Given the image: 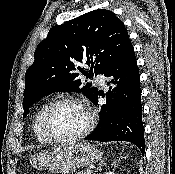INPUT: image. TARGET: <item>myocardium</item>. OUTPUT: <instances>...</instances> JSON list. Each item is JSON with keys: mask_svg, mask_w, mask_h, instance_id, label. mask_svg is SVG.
<instances>
[{"mask_svg": "<svg viewBox=\"0 0 175 174\" xmlns=\"http://www.w3.org/2000/svg\"><path fill=\"white\" fill-rule=\"evenodd\" d=\"M66 103H75V104L80 105L84 109L87 115V125L80 133L73 135V136L64 137V136H59L53 132L51 128V117L54 111L59 106L66 104ZM94 125H95V117H94V114L92 112V109L89 103L85 99L78 97V96H67V97H63V98L53 101L47 107L43 115V119H42V126H43V130L45 134L54 142L78 141L86 137L93 130Z\"/></svg>", "mask_w": 175, "mask_h": 174, "instance_id": "obj_1", "label": "myocardium"}]
</instances>
